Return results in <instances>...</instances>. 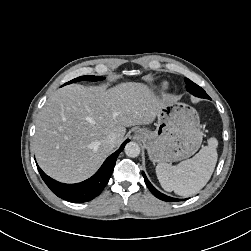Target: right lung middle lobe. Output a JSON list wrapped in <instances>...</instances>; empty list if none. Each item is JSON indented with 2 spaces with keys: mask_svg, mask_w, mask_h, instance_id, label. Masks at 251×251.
I'll use <instances>...</instances> for the list:
<instances>
[{
  "mask_svg": "<svg viewBox=\"0 0 251 251\" xmlns=\"http://www.w3.org/2000/svg\"><path fill=\"white\" fill-rule=\"evenodd\" d=\"M103 79H104V77L93 76V75L81 76V77H78V78H75V79L69 81L66 84H70V83H73V82H76V81H83V80H86V81H101ZM66 84H64V85H66Z\"/></svg>",
  "mask_w": 251,
  "mask_h": 251,
  "instance_id": "right-lung-middle-lobe-1",
  "label": "right lung middle lobe"
}]
</instances>
